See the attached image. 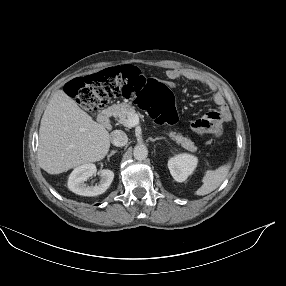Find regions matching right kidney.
Segmentation results:
<instances>
[{
  "mask_svg": "<svg viewBox=\"0 0 286 286\" xmlns=\"http://www.w3.org/2000/svg\"><path fill=\"white\" fill-rule=\"evenodd\" d=\"M96 166L92 163L81 165L75 168L69 176L68 188L82 196H97L104 193L111 185L114 173L111 170L103 169L99 172L101 180L96 185H86L85 181L96 174Z\"/></svg>",
  "mask_w": 286,
  "mask_h": 286,
  "instance_id": "obj_1",
  "label": "right kidney"
}]
</instances>
